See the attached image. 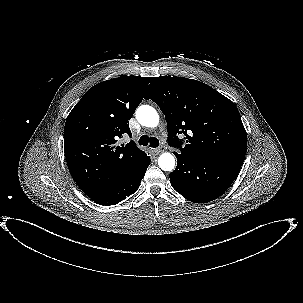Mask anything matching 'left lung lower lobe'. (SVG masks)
Instances as JSON below:
<instances>
[{"mask_svg": "<svg viewBox=\"0 0 303 303\" xmlns=\"http://www.w3.org/2000/svg\"><path fill=\"white\" fill-rule=\"evenodd\" d=\"M176 169L169 174L172 187L195 203H207L222 195L237 177L242 164L224 160L192 159L174 152Z\"/></svg>", "mask_w": 303, "mask_h": 303, "instance_id": "left-lung-lower-lobe-1", "label": "left lung lower lobe"}]
</instances>
